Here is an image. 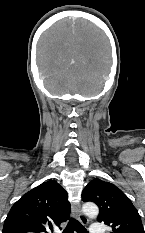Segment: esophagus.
Segmentation results:
<instances>
[{"label":"esophagus","mask_w":145,"mask_h":233,"mask_svg":"<svg viewBox=\"0 0 145 233\" xmlns=\"http://www.w3.org/2000/svg\"><path fill=\"white\" fill-rule=\"evenodd\" d=\"M72 209L76 215V218L83 224H87L88 223V219L86 218V216L82 213L81 211V206L79 203H75L72 205Z\"/></svg>","instance_id":"obj_1"}]
</instances>
